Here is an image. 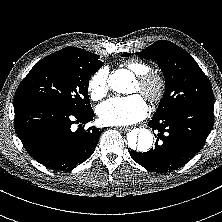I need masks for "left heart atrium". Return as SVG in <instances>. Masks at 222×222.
I'll return each instance as SVG.
<instances>
[{"label":"left heart atrium","mask_w":222,"mask_h":222,"mask_svg":"<svg viewBox=\"0 0 222 222\" xmlns=\"http://www.w3.org/2000/svg\"><path fill=\"white\" fill-rule=\"evenodd\" d=\"M99 120L106 125H129L142 120L148 106L140 94L111 98L96 109Z\"/></svg>","instance_id":"left-heart-atrium-1"}]
</instances>
